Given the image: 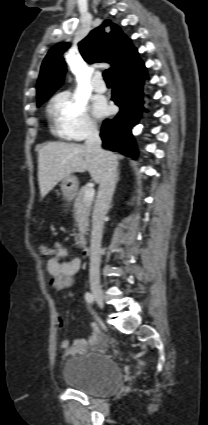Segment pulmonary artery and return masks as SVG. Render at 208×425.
Here are the masks:
<instances>
[{
  "mask_svg": "<svg viewBox=\"0 0 208 425\" xmlns=\"http://www.w3.org/2000/svg\"><path fill=\"white\" fill-rule=\"evenodd\" d=\"M92 87L96 92L103 93L106 91L107 86L102 80V77L99 73H96L93 78Z\"/></svg>",
  "mask_w": 208,
  "mask_h": 425,
  "instance_id": "pulmonary-artery-1",
  "label": "pulmonary artery"
}]
</instances>
